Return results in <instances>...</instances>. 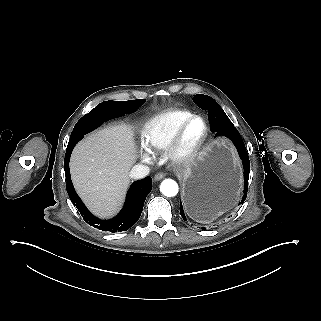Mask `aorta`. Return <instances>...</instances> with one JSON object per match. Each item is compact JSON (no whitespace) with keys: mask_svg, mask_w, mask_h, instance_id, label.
Returning a JSON list of instances; mask_svg holds the SVG:
<instances>
[{"mask_svg":"<svg viewBox=\"0 0 321 321\" xmlns=\"http://www.w3.org/2000/svg\"><path fill=\"white\" fill-rule=\"evenodd\" d=\"M178 184L172 179H165L162 181L160 191L167 197H173L178 193Z\"/></svg>","mask_w":321,"mask_h":321,"instance_id":"aorta-1","label":"aorta"}]
</instances>
